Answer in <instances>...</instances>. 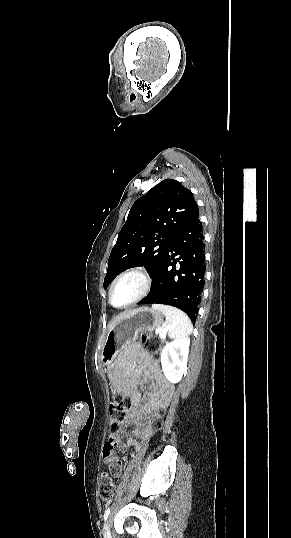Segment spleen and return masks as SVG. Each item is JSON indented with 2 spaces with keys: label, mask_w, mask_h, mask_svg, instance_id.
I'll return each mask as SVG.
<instances>
[{
  "label": "spleen",
  "mask_w": 291,
  "mask_h": 538,
  "mask_svg": "<svg viewBox=\"0 0 291 538\" xmlns=\"http://www.w3.org/2000/svg\"><path fill=\"white\" fill-rule=\"evenodd\" d=\"M152 308L164 314L170 338H181L192 333L191 320L183 311L163 304H153Z\"/></svg>",
  "instance_id": "3e777b00"
}]
</instances>
